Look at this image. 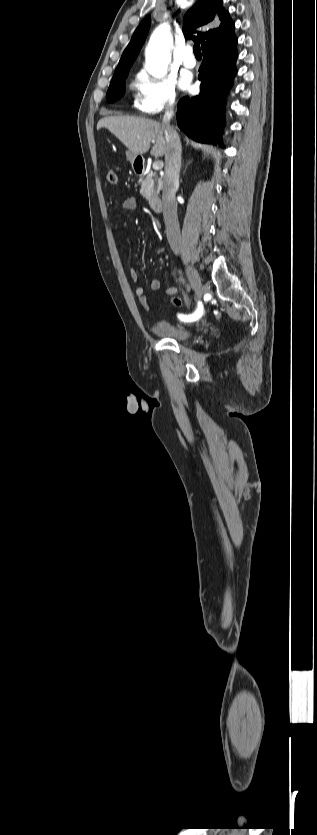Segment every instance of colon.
I'll use <instances>...</instances> for the list:
<instances>
[{
    "label": "colon",
    "mask_w": 317,
    "mask_h": 835,
    "mask_svg": "<svg viewBox=\"0 0 317 835\" xmlns=\"http://www.w3.org/2000/svg\"><path fill=\"white\" fill-rule=\"evenodd\" d=\"M117 180H118V176H117L116 171L114 169H109L107 171V181L110 184H116ZM172 303L176 306H180L182 304V302L179 298H173Z\"/></svg>",
    "instance_id": "1"
}]
</instances>
